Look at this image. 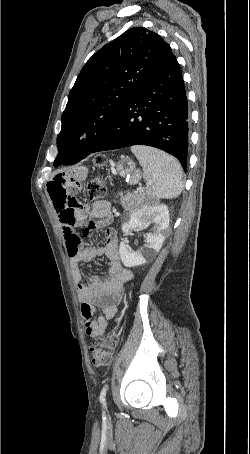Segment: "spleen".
Masks as SVG:
<instances>
[{
  "mask_svg": "<svg viewBox=\"0 0 250 454\" xmlns=\"http://www.w3.org/2000/svg\"><path fill=\"white\" fill-rule=\"evenodd\" d=\"M132 153L143 168L147 194L153 199L175 198L183 189L180 163L172 156L147 146H132Z\"/></svg>",
  "mask_w": 250,
  "mask_h": 454,
  "instance_id": "3e777b00",
  "label": "spleen"
}]
</instances>
